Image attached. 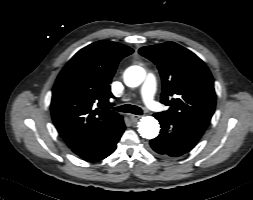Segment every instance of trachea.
Returning a JSON list of instances; mask_svg holds the SVG:
<instances>
[{
  "mask_svg": "<svg viewBox=\"0 0 253 200\" xmlns=\"http://www.w3.org/2000/svg\"><path fill=\"white\" fill-rule=\"evenodd\" d=\"M114 110H116L118 112L142 115L141 108L138 107V106H135V105H131V104H125V105H122V106H118V107L114 108Z\"/></svg>",
  "mask_w": 253,
  "mask_h": 200,
  "instance_id": "3493384b",
  "label": "trachea"
}]
</instances>
